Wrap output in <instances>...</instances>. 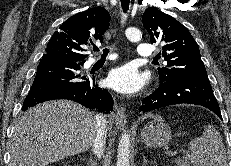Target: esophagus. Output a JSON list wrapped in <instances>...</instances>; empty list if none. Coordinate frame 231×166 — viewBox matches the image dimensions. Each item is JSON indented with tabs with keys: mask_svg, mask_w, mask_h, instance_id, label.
<instances>
[{
	"mask_svg": "<svg viewBox=\"0 0 231 166\" xmlns=\"http://www.w3.org/2000/svg\"><path fill=\"white\" fill-rule=\"evenodd\" d=\"M113 119H114V123H115L116 127L119 130H123L125 128L126 123H127V118H126L124 108L122 106H119L116 109V112L113 116Z\"/></svg>",
	"mask_w": 231,
	"mask_h": 166,
	"instance_id": "esophagus-1",
	"label": "esophagus"
}]
</instances>
